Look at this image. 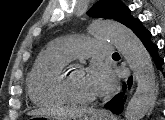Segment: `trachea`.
Listing matches in <instances>:
<instances>
[{"label":"trachea","instance_id":"1","mask_svg":"<svg viewBox=\"0 0 165 120\" xmlns=\"http://www.w3.org/2000/svg\"><path fill=\"white\" fill-rule=\"evenodd\" d=\"M113 55H119L117 52H115Z\"/></svg>","mask_w":165,"mask_h":120}]
</instances>
